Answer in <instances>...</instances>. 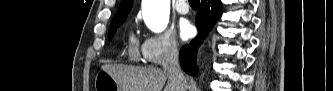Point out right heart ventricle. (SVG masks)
Wrapping results in <instances>:
<instances>
[{"mask_svg": "<svg viewBox=\"0 0 333 91\" xmlns=\"http://www.w3.org/2000/svg\"><path fill=\"white\" fill-rule=\"evenodd\" d=\"M128 56L133 61H137L140 56L137 42L133 35H130L129 37Z\"/></svg>", "mask_w": 333, "mask_h": 91, "instance_id": "obj_1", "label": "right heart ventricle"}]
</instances>
